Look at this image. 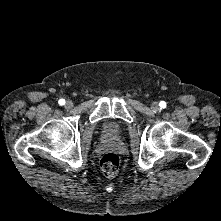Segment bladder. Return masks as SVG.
Instances as JSON below:
<instances>
[{
  "instance_id": "bladder-1",
  "label": "bladder",
  "mask_w": 221,
  "mask_h": 221,
  "mask_svg": "<svg viewBox=\"0 0 221 221\" xmlns=\"http://www.w3.org/2000/svg\"><path fill=\"white\" fill-rule=\"evenodd\" d=\"M103 136L106 139H115L120 136L121 128L113 122H105L102 127Z\"/></svg>"
}]
</instances>
